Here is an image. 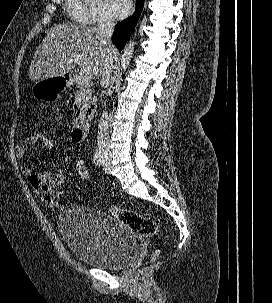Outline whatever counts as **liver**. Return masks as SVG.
<instances>
[{"instance_id": "1", "label": "liver", "mask_w": 272, "mask_h": 303, "mask_svg": "<svg viewBox=\"0 0 272 303\" xmlns=\"http://www.w3.org/2000/svg\"><path fill=\"white\" fill-rule=\"evenodd\" d=\"M107 48L95 27L84 24H59L50 29L31 61L29 78L40 81L64 77L76 65L82 75L95 79L103 74ZM77 59L78 62H71Z\"/></svg>"}]
</instances>
